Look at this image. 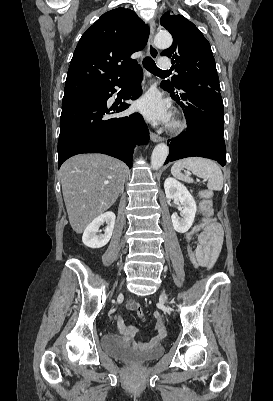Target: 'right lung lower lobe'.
Returning <instances> with one entry per match:
<instances>
[{
  "label": "right lung lower lobe",
  "mask_w": 273,
  "mask_h": 401,
  "mask_svg": "<svg viewBox=\"0 0 273 401\" xmlns=\"http://www.w3.org/2000/svg\"><path fill=\"white\" fill-rule=\"evenodd\" d=\"M133 76L125 99L135 100L141 95L138 87L143 71L140 66L132 70ZM122 80L86 97L62 106L60 135L58 140V168L71 156L80 153H103L132 164L133 148L146 144L149 131L141 114L125 117L110 115L127 109L130 104L121 103L108 109L107 100L121 86ZM111 92V93H110Z\"/></svg>",
  "instance_id": "obj_1"
}]
</instances>
